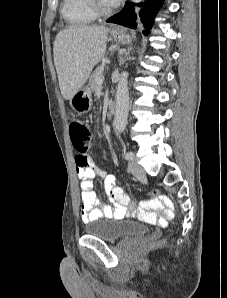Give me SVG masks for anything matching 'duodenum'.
Listing matches in <instances>:
<instances>
[{
    "instance_id": "410a0bca",
    "label": "duodenum",
    "mask_w": 227,
    "mask_h": 298,
    "mask_svg": "<svg viewBox=\"0 0 227 298\" xmlns=\"http://www.w3.org/2000/svg\"><path fill=\"white\" fill-rule=\"evenodd\" d=\"M116 112V103L114 101L110 102L109 103V107H108V113H109V116H114Z\"/></svg>"
}]
</instances>
